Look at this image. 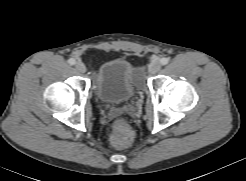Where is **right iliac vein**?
<instances>
[{
    "label": "right iliac vein",
    "mask_w": 246,
    "mask_h": 181,
    "mask_svg": "<svg viewBox=\"0 0 246 181\" xmlns=\"http://www.w3.org/2000/svg\"><path fill=\"white\" fill-rule=\"evenodd\" d=\"M75 68L80 73H84L86 71V66L80 61L75 63Z\"/></svg>",
    "instance_id": "right-iliac-vein-1"
}]
</instances>
